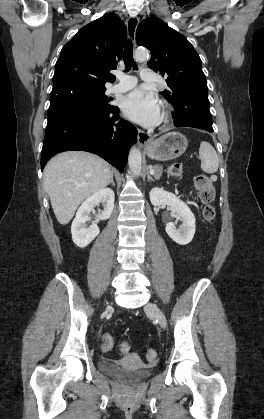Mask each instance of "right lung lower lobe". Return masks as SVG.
<instances>
[{
    "label": "right lung lower lobe",
    "instance_id": "right-lung-lower-lobe-1",
    "mask_svg": "<svg viewBox=\"0 0 264 419\" xmlns=\"http://www.w3.org/2000/svg\"><path fill=\"white\" fill-rule=\"evenodd\" d=\"M137 133L130 122L120 118L117 106L63 105L48 115L41 169L57 153L83 150L101 156L123 172Z\"/></svg>",
    "mask_w": 264,
    "mask_h": 419
}]
</instances>
